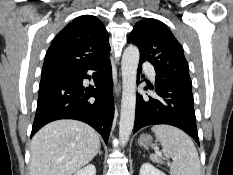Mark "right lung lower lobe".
<instances>
[{"mask_svg": "<svg viewBox=\"0 0 233 175\" xmlns=\"http://www.w3.org/2000/svg\"><path fill=\"white\" fill-rule=\"evenodd\" d=\"M94 71L95 87L85 88L83 79ZM114 117L112 68L109 56L65 75L41 80L31 137L45 124L58 119L83 121L107 144Z\"/></svg>", "mask_w": 233, "mask_h": 175, "instance_id": "98d812e1", "label": "right lung lower lobe"}]
</instances>
